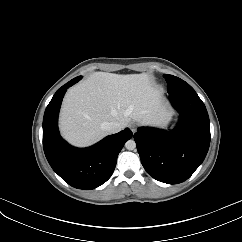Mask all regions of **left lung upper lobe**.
<instances>
[{"label":"left lung upper lobe","mask_w":242,"mask_h":242,"mask_svg":"<svg viewBox=\"0 0 242 242\" xmlns=\"http://www.w3.org/2000/svg\"><path fill=\"white\" fill-rule=\"evenodd\" d=\"M168 85L167 89L170 91H191L194 90L188 83L183 81L182 79L172 76V75H164Z\"/></svg>","instance_id":"obj_1"}]
</instances>
